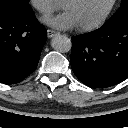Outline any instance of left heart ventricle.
Masks as SVG:
<instances>
[{
  "label": "left heart ventricle",
  "mask_w": 128,
  "mask_h": 128,
  "mask_svg": "<svg viewBox=\"0 0 128 128\" xmlns=\"http://www.w3.org/2000/svg\"><path fill=\"white\" fill-rule=\"evenodd\" d=\"M112 0H72L64 5V10L70 12L78 26L96 21L106 10Z\"/></svg>",
  "instance_id": "obj_1"
}]
</instances>
